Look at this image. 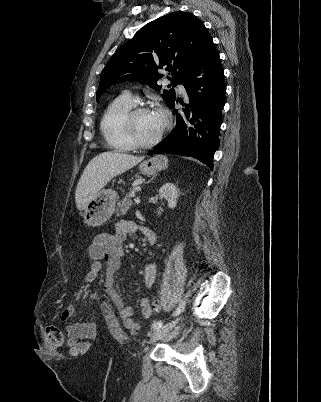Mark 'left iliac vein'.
I'll list each match as a JSON object with an SVG mask.
<instances>
[{"label": "left iliac vein", "mask_w": 321, "mask_h": 402, "mask_svg": "<svg viewBox=\"0 0 321 402\" xmlns=\"http://www.w3.org/2000/svg\"><path fill=\"white\" fill-rule=\"evenodd\" d=\"M181 318H177L174 321L168 322L165 325L161 326L159 329L155 330L151 336L150 344L157 342L166 336L178 323Z\"/></svg>", "instance_id": "left-iliac-vein-1"}]
</instances>
